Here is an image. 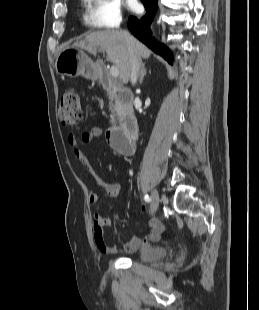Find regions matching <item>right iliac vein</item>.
Masks as SVG:
<instances>
[{
  "label": "right iliac vein",
  "mask_w": 259,
  "mask_h": 310,
  "mask_svg": "<svg viewBox=\"0 0 259 310\" xmlns=\"http://www.w3.org/2000/svg\"><path fill=\"white\" fill-rule=\"evenodd\" d=\"M159 191L154 189L151 193V212L154 214L159 207Z\"/></svg>",
  "instance_id": "obj_1"
}]
</instances>
